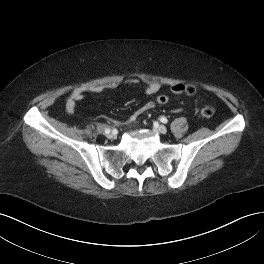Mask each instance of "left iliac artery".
I'll return each mask as SVG.
<instances>
[{"mask_svg":"<svg viewBox=\"0 0 264 264\" xmlns=\"http://www.w3.org/2000/svg\"><path fill=\"white\" fill-rule=\"evenodd\" d=\"M160 121H161L162 123H167V122H168V120H167L166 117H161V118H160Z\"/></svg>","mask_w":264,"mask_h":264,"instance_id":"left-iliac-artery-1","label":"left iliac artery"}]
</instances>
